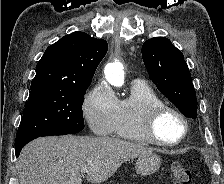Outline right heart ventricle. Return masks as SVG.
<instances>
[{"label":"right heart ventricle","instance_id":"obj_1","mask_svg":"<svg viewBox=\"0 0 224 184\" xmlns=\"http://www.w3.org/2000/svg\"><path fill=\"white\" fill-rule=\"evenodd\" d=\"M163 103L148 85L134 82L129 93L117 101L112 134L138 143H147L142 133V120L148 108Z\"/></svg>","mask_w":224,"mask_h":184}]
</instances>
